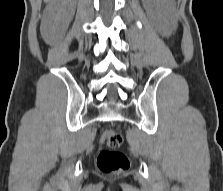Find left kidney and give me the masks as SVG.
<instances>
[{
	"label": "left kidney",
	"mask_w": 223,
	"mask_h": 191,
	"mask_svg": "<svg viewBox=\"0 0 223 191\" xmlns=\"http://www.w3.org/2000/svg\"><path fill=\"white\" fill-rule=\"evenodd\" d=\"M143 4L163 34L170 35L174 32L177 19L172 0H143Z\"/></svg>",
	"instance_id": "5707ae66"
}]
</instances>
